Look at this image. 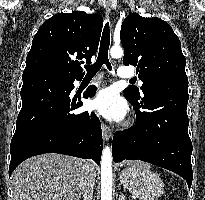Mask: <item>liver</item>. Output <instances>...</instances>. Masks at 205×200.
I'll return each mask as SVG.
<instances>
[{"mask_svg":"<svg viewBox=\"0 0 205 200\" xmlns=\"http://www.w3.org/2000/svg\"><path fill=\"white\" fill-rule=\"evenodd\" d=\"M82 166L79 158L55 153L31 157L12 173V200H80Z\"/></svg>","mask_w":205,"mask_h":200,"instance_id":"1","label":"liver"}]
</instances>
